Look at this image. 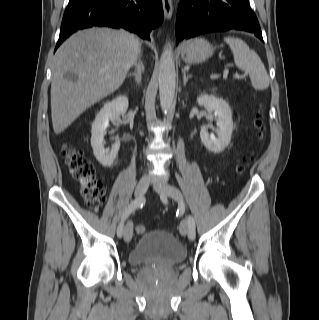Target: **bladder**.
Returning <instances> with one entry per match:
<instances>
[{
  "mask_svg": "<svg viewBox=\"0 0 319 320\" xmlns=\"http://www.w3.org/2000/svg\"><path fill=\"white\" fill-rule=\"evenodd\" d=\"M186 257V247L171 233L164 230H149L139 237L128 258L132 265L142 266L153 261L177 264Z\"/></svg>",
  "mask_w": 319,
  "mask_h": 320,
  "instance_id": "bladder-1",
  "label": "bladder"
}]
</instances>
